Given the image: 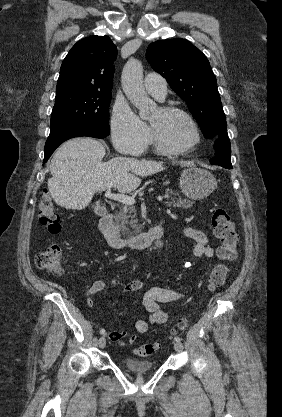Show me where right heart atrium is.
Masks as SVG:
<instances>
[{"label":"right heart atrium","instance_id":"obj_1","mask_svg":"<svg viewBox=\"0 0 282 417\" xmlns=\"http://www.w3.org/2000/svg\"><path fill=\"white\" fill-rule=\"evenodd\" d=\"M111 136L118 152L139 155L148 146L150 131L127 105L117 103L111 118Z\"/></svg>","mask_w":282,"mask_h":417}]
</instances>
